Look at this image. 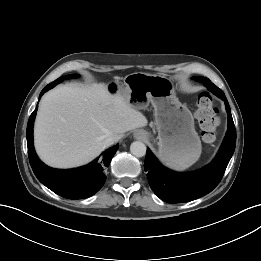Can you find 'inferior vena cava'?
Instances as JSON below:
<instances>
[{"label": "inferior vena cava", "instance_id": "inferior-vena-cava-1", "mask_svg": "<svg viewBox=\"0 0 261 261\" xmlns=\"http://www.w3.org/2000/svg\"><path fill=\"white\" fill-rule=\"evenodd\" d=\"M118 141V138L116 136H108L105 140H104V146L108 147L113 145L115 142Z\"/></svg>", "mask_w": 261, "mask_h": 261}]
</instances>
